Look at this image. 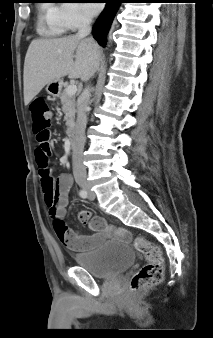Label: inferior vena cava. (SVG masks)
I'll return each mask as SVG.
<instances>
[{
    "label": "inferior vena cava",
    "mask_w": 213,
    "mask_h": 338,
    "mask_svg": "<svg viewBox=\"0 0 213 338\" xmlns=\"http://www.w3.org/2000/svg\"><path fill=\"white\" fill-rule=\"evenodd\" d=\"M91 32V19L83 17L77 37H87ZM91 39V38H90ZM90 99V89L86 88L79 98L77 121L72 144V165L75 180H86V168L83 165V149L85 144V128L87 123L86 108Z\"/></svg>",
    "instance_id": "602c4592"
}]
</instances>
